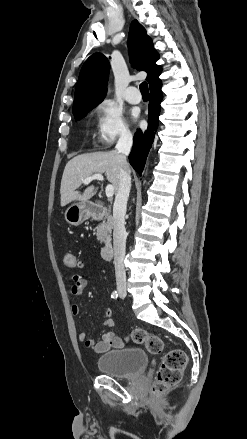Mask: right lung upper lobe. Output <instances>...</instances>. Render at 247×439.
<instances>
[{
    "label": "right lung upper lobe",
    "instance_id": "1",
    "mask_svg": "<svg viewBox=\"0 0 247 439\" xmlns=\"http://www.w3.org/2000/svg\"><path fill=\"white\" fill-rule=\"evenodd\" d=\"M128 48L132 67L147 72L146 80L150 89L160 85L159 75L162 69L155 64L159 59V54L153 48V42L147 35L145 28L137 20H134L130 26ZM109 69V62L101 53H95L85 61L76 84L73 103L74 115L93 109L103 101Z\"/></svg>",
    "mask_w": 247,
    "mask_h": 439
}]
</instances>
